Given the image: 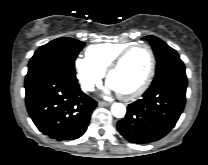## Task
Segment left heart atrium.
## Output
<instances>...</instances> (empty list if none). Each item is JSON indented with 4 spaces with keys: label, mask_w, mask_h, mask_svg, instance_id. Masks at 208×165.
I'll use <instances>...</instances> for the list:
<instances>
[{
    "label": "left heart atrium",
    "mask_w": 208,
    "mask_h": 165,
    "mask_svg": "<svg viewBox=\"0 0 208 165\" xmlns=\"http://www.w3.org/2000/svg\"><path fill=\"white\" fill-rule=\"evenodd\" d=\"M109 92H117L116 89L109 83L108 89Z\"/></svg>",
    "instance_id": "left-heart-atrium-1"
}]
</instances>
